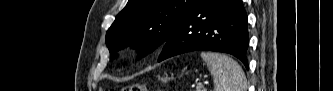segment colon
Instances as JSON below:
<instances>
[{"mask_svg":"<svg viewBox=\"0 0 333 91\" xmlns=\"http://www.w3.org/2000/svg\"><path fill=\"white\" fill-rule=\"evenodd\" d=\"M121 90L122 91H145V88L142 85L133 84V85L126 86V87L122 88Z\"/></svg>","mask_w":333,"mask_h":91,"instance_id":"1","label":"colon"}]
</instances>
